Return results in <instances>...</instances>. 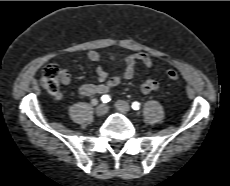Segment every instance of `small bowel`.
I'll list each match as a JSON object with an SVG mask.
<instances>
[{
	"label": "small bowel",
	"mask_w": 230,
	"mask_h": 186,
	"mask_svg": "<svg viewBox=\"0 0 230 186\" xmlns=\"http://www.w3.org/2000/svg\"><path fill=\"white\" fill-rule=\"evenodd\" d=\"M87 57L91 62L98 64L96 67L97 82L81 85L78 89V92L82 96L105 94L109 92L113 87L120 84L122 81L132 79L135 74V66L137 62L142 63L148 68L152 66V59L148 54L143 52L130 54L124 58V72L120 76L109 77L108 73L105 71L102 65L99 64L101 60V55L97 51H89ZM108 58L110 60H115L116 56L109 55ZM60 80L63 84L70 83L71 77L67 69L62 70ZM159 86L160 84L156 79L148 78L141 83V91L144 94H149L153 91L158 90ZM56 98L61 99L62 94L58 93L56 95Z\"/></svg>",
	"instance_id": "small-bowel-1"
}]
</instances>
